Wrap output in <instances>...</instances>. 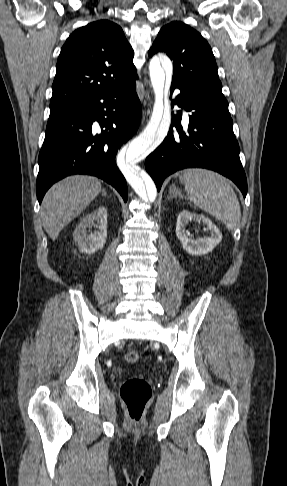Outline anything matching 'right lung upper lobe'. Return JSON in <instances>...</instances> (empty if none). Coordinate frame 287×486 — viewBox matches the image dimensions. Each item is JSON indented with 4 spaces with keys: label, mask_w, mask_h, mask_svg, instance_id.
I'll return each instance as SVG.
<instances>
[{
    "label": "right lung upper lobe",
    "mask_w": 287,
    "mask_h": 486,
    "mask_svg": "<svg viewBox=\"0 0 287 486\" xmlns=\"http://www.w3.org/2000/svg\"><path fill=\"white\" fill-rule=\"evenodd\" d=\"M133 56L123 30L112 21L99 20L75 30L58 57L50 112L70 109L135 81Z\"/></svg>",
    "instance_id": "right-lung-upper-lobe-1"
}]
</instances>
